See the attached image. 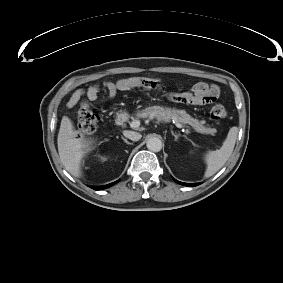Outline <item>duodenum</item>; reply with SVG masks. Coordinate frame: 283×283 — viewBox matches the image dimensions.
Here are the masks:
<instances>
[{
    "instance_id": "1",
    "label": "duodenum",
    "mask_w": 283,
    "mask_h": 283,
    "mask_svg": "<svg viewBox=\"0 0 283 283\" xmlns=\"http://www.w3.org/2000/svg\"><path fill=\"white\" fill-rule=\"evenodd\" d=\"M116 123H117V124H122V123H124V117H123V116H118V117L116 118Z\"/></svg>"
}]
</instances>
